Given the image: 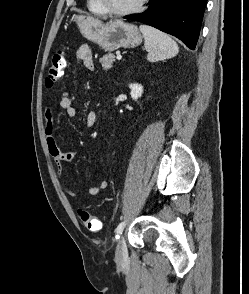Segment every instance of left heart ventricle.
<instances>
[{
  "label": "left heart ventricle",
  "mask_w": 249,
  "mask_h": 294,
  "mask_svg": "<svg viewBox=\"0 0 249 294\" xmlns=\"http://www.w3.org/2000/svg\"><path fill=\"white\" fill-rule=\"evenodd\" d=\"M139 0H104L106 6L114 10H124L134 6Z\"/></svg>",
  "instance_id": "left-heart-ventricle-1"
}]
</instances>
